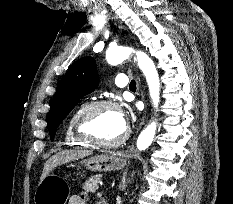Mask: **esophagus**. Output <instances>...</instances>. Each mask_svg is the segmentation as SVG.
I'll return each instance as SVG.
<instances>
[{"instance_id": "1", "label": "esophagus", "mask_w": 233, "mask_h": 204, "mask_svg": "<svg viewBox=\"0 0 233 204\" xmlns=\"http://www.w3.org/2000/svg\"><path fill=\"white\" fill-rule=\"evenodd\" d=\"M113 19H114V21H116L118 24H119V27L121 28V29H125L124 28V26L122 25V23L118 20V18L117 17H115V16H113ZM133 65L135 66V59H133Z\"/></svg>"}]
</instances>
